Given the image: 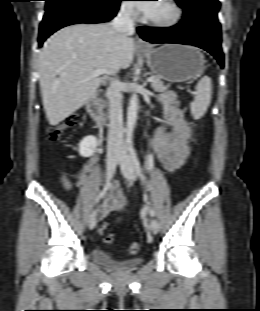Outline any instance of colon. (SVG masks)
I'll return each instance as SVG.
<instances>
[{
  "label": "colon",
  "mask_w": 260,
  "mask_h": 311,
  "mask_svg": "<svg viewBox=\"0 0 260 311\" xmlns=\"http://www.w3.org/2000/svg\"><path fill=\"white\" fill-rule=\"evenodd\" d=\"M78 123L77 118L76 117H70L66 120L65 123L60 124V125H56V126H52L48 129V137L50 140H57L58 138H60L63 133L65 132V130L67 128H71L76 126ZM108 223L104 222L99 229L100 233H103L104 231L107 230L108 228ZM115 239V235L114 234H108L104 237V242L105 243H112ZM140 251V245L137 242H133L129 245L128 247V252L132 255L137 254Z\"/></svg>",
  "instance_id": "5ec220e1"
}]
</instances>
